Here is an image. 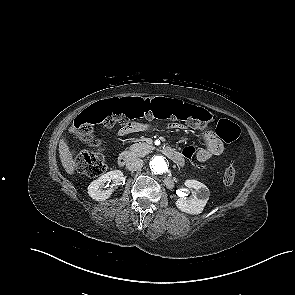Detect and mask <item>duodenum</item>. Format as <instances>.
Segmentation results:
<instances>
[{"label": "duodenum", "instance_id": "1", "mask_svg": "<svg viewBox=\"0 0 295 295\" xmlns=\"http://www.w3.org/2000/svg\"><path fill=\"white\" fill-rule=\"evenodd\" d=\"M163 152L174 163L179 164V165L183 164L184 159L181 156V153H179L175 149H172V148H164L163 149ZM132 159H133V154L131 152H129V151H123L122 153L119 154L117 161H118L119 166H125Z\"/></svg>", "mask_w": 295, "mask_h": 295}]
</instances>
